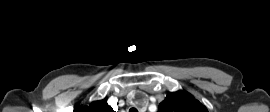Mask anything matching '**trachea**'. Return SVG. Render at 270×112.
Instances as JSON below:
<instances>
[{
	"label": "trachea",
	"instance_id": "1",
	"mask_svg": "<svg viewBox=\"0 0 270 112\" xmlns=\"http://www.w3.org/2000/svg\"><path fill=\"white\" fill-rule=\"evenodd\" d=\"M129 112H138V110L136 108H131Z\"/></svg>",
	"mask_w": 270,
	"mask_h": 112
}]
</instances>
